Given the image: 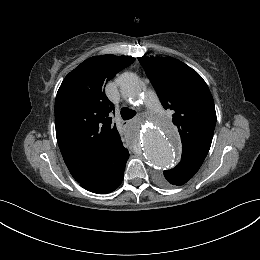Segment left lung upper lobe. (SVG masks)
Returning <instances> with one entry per match:
<instances>
[{"instance_id": "left-lung-upper-lobe-1", "label": "left lung upper lobe", "mask_w": 260, "mask_h": 260, "mask_svg": "<svg viewBox=\"0 0 260 260\" xmlns=\"http://www.w3.org/2000/svg\"><path fill=\"white\" fill-rule=\"evenodd\" d=\"M141 65L165 109L174 110L172 122L182 142V157L177 166L199 169L206 158L216 125L213 97L202 77L172 57H139ZM160 182L171 186L165 176Z\"/></svg>"}]
</instances>
